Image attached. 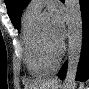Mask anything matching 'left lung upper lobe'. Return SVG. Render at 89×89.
I'll return each mask as SVG.
<instances>
[{"mask_svg":"<svg viewBox=\"0 0 89 89\" xmlns=\"http://www.w3.org/2000/svg\"><path fill=\"white\" fill-rule=\"evenodd\" d=\"M30 0H5L8 15L13 25L20 30V19L22 10L28 5Z\"/></svg>","mask_w":89,"mask_h":89,"instance_id":"5c2ea615","label":"left lung upper lobe"}]
</instances>
